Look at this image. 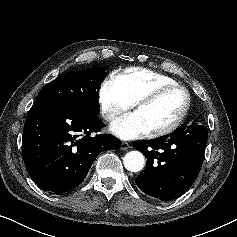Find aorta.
Masks as SVG:
<instances>
[{"label": "aorta", "mask_w": 237, "mask_h": 237, "mask_svg": "<svg viewBox=\"0 0 237 237\" xmlns=\"http://www.w3.org/2000/svg\"><path fill=\"white\" fill-rule=\"evenodd\" d=\"M125 168L130 172H139L144 168L145 157L139 151H130L123 158Z\"/></svg>", "instance_id": "762f6f07"}]
</instances>
